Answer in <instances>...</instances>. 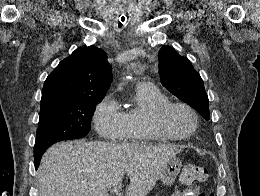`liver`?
<instances>
[{
	"label": "liver",
	"instance_id": "6515ba94",
	"mask_svg": "<svg viewBox=\"0 0 260 196\" xmlns=\"http://www.w3.org/2000/svg\"><path fill=\"white\" fill-rule=\"evenodd\" d=\"M182 146H140L113 142H60L43 154L39 196H109L110 188L130 182L125 196H147L169 160Z\"/></svg>",
	"mask_w": 260,
	"mask_h": 196
}]
</instances>
